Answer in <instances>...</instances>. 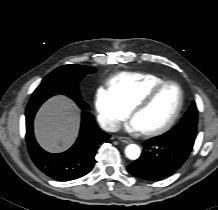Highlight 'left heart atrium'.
<instances>
[{
	"label": "left heart atrium",
	"instance_id": "39dd6f15",
	"mask_svg": "<svg viewBox=\"0 0 218 210\" xmlns=\"http://www.w3.org/2000/svg\"><path fill=\"white\" fill-rule=\"evenodd\" d=\"M128 130L131 132H141L139 126L137 125L134 119H132L128 124Z\"/></svg>",
	"mask_w": 218,
	"mask_h": 210
}]
</instances>
